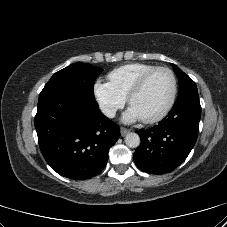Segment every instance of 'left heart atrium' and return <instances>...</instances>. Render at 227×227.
I'll return each instance as SVG.
<instances>
[{
  "label": "left heart atrium",
  "instance_id": "obj_1",
  "mask_svg": "<svg viewBox=\"0 0 227 227\" xmlns=\"http://www.w3.org/2000/svg\"><path fill=\"white\" fill-rule=\"evenodd\" d=\"M140 119H141L140 116L132 107H130L124 115V121L126 122H134Z\"/></svg>",
  "mask_w": 227,
  "mask_h": 227
}]
</instances>
